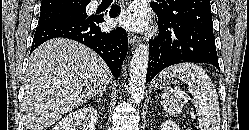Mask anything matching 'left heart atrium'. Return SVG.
<instances>
[{
	"instance_id": "left-heart-atrium-1",
	"label": "left heart atrium",
	"mask_w": 249,
	"mask_h": 130,
	"mask_svg": "<svg viewBox=\"0 0 249 130\" xmlns=\"http://www.w3.org/2000/svg\"><path fill=\"white\" fill-rule=\"evenodd\" d=\"M118 22L126 28L142 31L148 26L147 10L141 4H134L120 15Z\"/></svg>"
}]
</instances>
